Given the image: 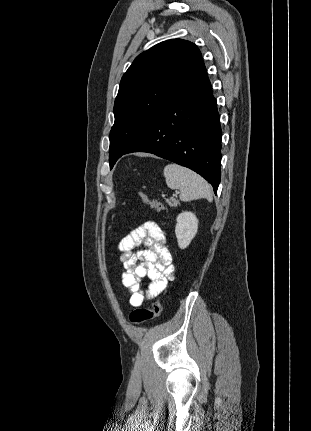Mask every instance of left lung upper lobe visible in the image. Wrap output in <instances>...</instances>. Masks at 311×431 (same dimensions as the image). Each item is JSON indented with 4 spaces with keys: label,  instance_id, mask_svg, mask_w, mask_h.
Segmentation results:
<instances>
[{
    "label": "left lung upper lobe",
    "instance_id": "1",
    "mask_svg": "<svg viewBox=\"0 0 311 431\" xmlns=\"http://www.w3.org/2000/svg\"><path fill=\"white\" fill-rule=\"evenodd\" d=\"M203 64L198 47L175 39L138 55L123 75L110 132V168L147 131L155 117Z\"/></svg>",
    "mask_w": 311,
    "mask_h": 431
}]
</instances>
